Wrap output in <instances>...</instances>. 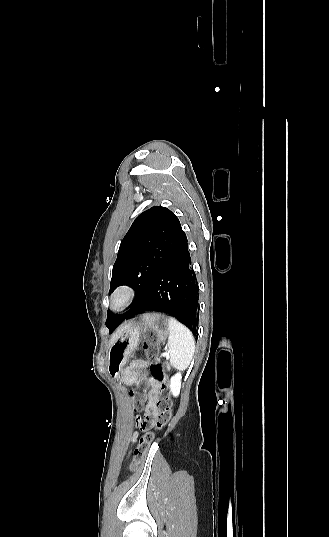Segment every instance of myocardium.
I'll use <instances>...</instances> for the list:
<instances>
[{
    "label": "myocardium",
    "mask_w": 329,
    "mask_h": 537,
    "mask_svg": "<svg viewBox=\"0 0 329 537\" xmlns=\"http://www.w3.org/2000/svg\"><path fill=\"white\" fill-rule=\"evenodd\" d=\"M136 292L129 285L116 288L109 297L108 307L113 312L126 310L135 300Z\"/></svg>",
    "instance_id": "obj_1"
}]
</instances>
